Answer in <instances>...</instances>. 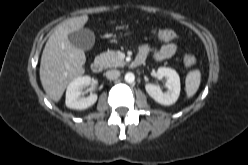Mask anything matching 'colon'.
<instances>
[{
  "label": "colon",
  "mask_w": 248,
  "mask_h": 165,
  "mask_svg": "<svg viewBox=\"0 0 248 165\" xmlns=\"http://www.w3.org/2000/svg\"><path fill=\"white\" fill-rule=\"evenodd\" d=\"M155 35L159 40L171 41L177 37L176 32L170 29H158L155 31ZM183 62L186 67H192L196 64V58L193 54L187 53L184 56Z\"/></svg>",
  "instance_id": "5ec220e1"
}]
</instances>
